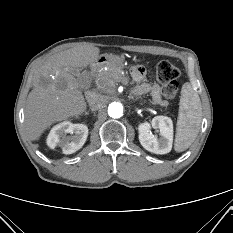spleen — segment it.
Here are the masks:
<instances>
[{
  "label": "spleen",
  "instance_id": "obj_1",
  "mask_svg": "<svg viewBox=\"0 0 233 233\" xmlns=\"http://www.w3.org/2000/svg\"><path fill=\"white\" fill-rule=\"evenodd\" d=\"M201 118L202 111L199 95L190 83H184L181 90L174 142L176 152L185 151L195 141L200 129Z\"/></svg>",
  "mask_w": 233,
  "mask_h": 233
}]
</instances>
